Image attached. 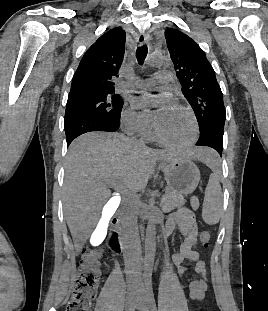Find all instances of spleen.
Wrapping results in <instances>:
<instances>
[{
    "label": "spleen",
    "instance_id": "spleen-1",
    "mask_svg": "<svg viewBox=\"0 0 268 311\" xmlns=\"http://www.w3.org/2000/svg\"><path fill=\"white\" fill-rule=\"evenodd\" d=\"M198 150L202 159H205L213 171L205 189L202 218L207 224L215 225L219 222L223 211V194L220 185L221 171L217 165V154L214 148H207L206 144H199Z\"/></svg>",
    "mask_w": 268,
    "mask_h": 311
}]
</instances>
